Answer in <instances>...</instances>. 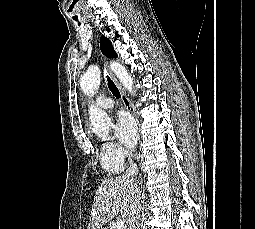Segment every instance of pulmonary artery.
I'll return each instance as SVG.
<instances>
[{
    "instance_id": "1",
    "label": "pulmonary artery",
    "mask_w": 255,
    "mask_h": 229,
    "mask_svg": "<svg viewBox=\"0 0 255 229\" xmlns=\"http://www.w3.org/2000/svg\"><path fill=\"white\" fill-rule=\"evenodd\" d=\"M96 105L102 109H110L114 106L113 100L105 94H100L96 98Z\"/></svg>"
}]
</instances>
